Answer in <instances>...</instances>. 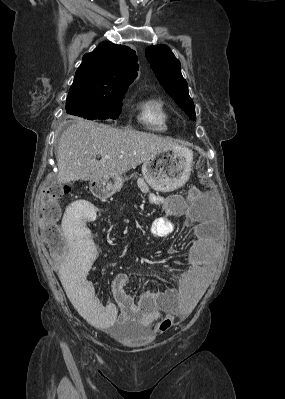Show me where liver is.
Listing matches in <instances>:
<instances>
[{
    "mask_svg": "<svg viewBox=\"0 0 285 399\" xmlns=\"http://www.w3.org/2000/svg\"><path fill=\"white\" fill-rule=\"evenodd\" d=\"M180 148L174 141L131 129L76 119L62 134L57 150L58 182L121 176L157 153ZM100 155L101 160H96ZM109 156V158H105Z\"/></svg>",
    "mask_w": 285,
    "mask_h": 399,
    "instance_id": "obj_1",
    "label": "liver"
}]
</instances>
